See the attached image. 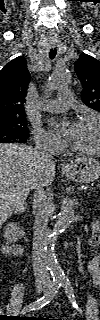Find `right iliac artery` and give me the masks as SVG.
I'll list each match as a JSON object with an SVG mask.
<instances>
[{"mask_svg": "<svg viewBox=\"0 0 100 320\" xmlns=\"http://www.w3.org/2000/svg\"><path fill=\"white\" fill-rule=\"evenodd\" d=\"M61 287L60 280H53V283L50 289L37 301L31 303L30 305L24 307L21 314H24L29 311L38 310L48 304L57 294L59 288Z\"/></svg>", "mask_w": 100, "mask_h": 320, "instance_id": "1", "label": "right iliac artery"}]
</instances>
